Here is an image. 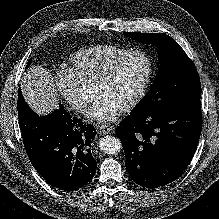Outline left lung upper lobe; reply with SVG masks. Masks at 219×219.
I'll use <instances>...</instances> for the list:
<instances>
[{
  "instance_id": "5c2ea615",
  "label": "left lung upper lobe",
  "mask_w": 219,
  "mask_h": 219,
  "mask_svg": "<svg viewBox=\"0 0 219 219\" xmlns=\"http://www.w3.org/2000/svg\"><path fill=\"white\" fill-rule=\"evenodd\" d=\"M126 35L144 44L157 45L162 63L150 91L130 115L156 114L200 100L201 84L196 67L174 39L162 33L127 32Z\"/></svg>"
}]
</instances>
